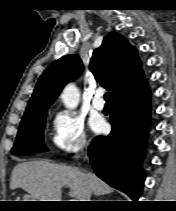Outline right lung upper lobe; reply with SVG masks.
I'll list each match as a JSON object with an SVG mask.
<instances>
[{"mask_svg": "<svg viewBox=\"0 0 176 211\" xmlns=\"http://www.w3.org/2000/svg\"><path fill=\"white\" fill-rule=\"evenodd\" d=\"M82 69V61L76 54L50 64L40 76L23 118L47 110L64 85L77 78ZM90 70L103 87L112 91L114 101L132 95L147 83L136 49L116 32L106 35L93 52Z\"/></svg>", "mask_w": 176, "mask_h": 211, "instance_id": "obj_1", "label": "right lung upper lobe"}]
</instances>
